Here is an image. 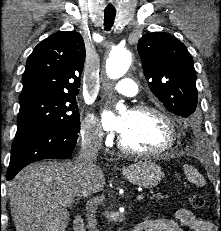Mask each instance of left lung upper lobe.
<instances>
[{
	"label": "left lung upper lobe",
	"instance_id": "obj_1",
	"mask_svg": "<svg viewBox=\"0 0 221 231\" xmlns=\"http://www.w3.org/2000/svg\"><path fill=\"white\" fill-rule=\"evenodd\" d=\"M138 53L150 90L165 108L184 118L193 114L196 73L186 46L168 33H147L138 43Z\"/></svg>",
	"mask_w": 221,
	"mask_h": 231
}]
</instances>
